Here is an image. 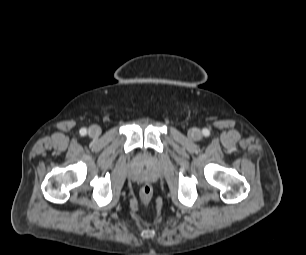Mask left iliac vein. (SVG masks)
<instances>
[{
  "instance_id": "obj_1",
  "label": "left iliac vein",
  "mask_w": 306,
  "mask_h": 255,
  "mask_svg": "<svg viewBox=\"0 0 306 255\" xmlns=\"http://www.w3.org/2000/svg\"><path fill=\"white\" fill-rule=\"evenodd\" d=\"M189 137L193 140H200L202 138V133L198 129H192L189 131Z\"/></svg>"
}]
</instances>
